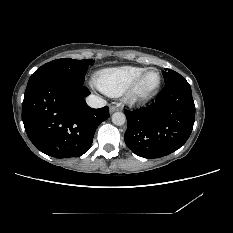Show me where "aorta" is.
<instances>
[{
    "instance_id": "aorta-1",
    "label": "aorta",
    "mask_w": 233,
    "mask_h": 233,
    "mask_svg": "<svg viewBox=\"0 0 233 233\" xmlns=\"http://www.w3.org/2000/svg\"><path fill=\"white\" fill-rule=\"evenodd\" d=\"M112 122L117 126L123 125L126 122L125 114L122 112H115L112 115Z\"/></svg>"
}]
</instances>
